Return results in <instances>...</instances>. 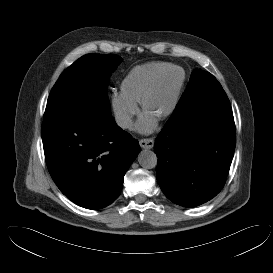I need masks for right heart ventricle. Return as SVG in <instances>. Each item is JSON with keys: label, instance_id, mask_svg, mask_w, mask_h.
I'll return each mask as SVG.
<instances>
[{"label": "right heart ventricle", "instance_id": "obj_1", "mask_svg": "<svg viewBox=\"0 0 273 273\" xmlns=\"http://www.w3.org/2000/svg\"><path fill=\"white\" fill-rule=\"evenodd\" d=\"M167 66L166 63L151 62L135 67L121 86L122 96L136 104L153 77Z\"/></svg>", "mask_w": 273, "mask_h": 273}]
</instances>
